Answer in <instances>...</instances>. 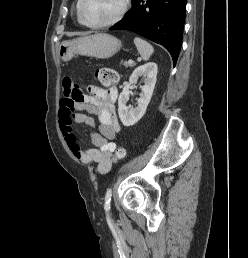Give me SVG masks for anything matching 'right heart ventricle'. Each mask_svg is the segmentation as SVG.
Masks as SVG:
<instances>
[{
  "mask_svg": "<svg viewBox=\"0 0 248 258\" xmlns=\"http://www.w3.org/2000/svg\"><path fill=\"white\" fill-rule=\"evenodd\" d=\"M77 7H78V2L76 3V7H75V15H76L77 21L82 24V21L80 20L79 15H78Z\"/></svg>",
  "mask_w": 248,
  "mask_h": 258,
  "instance_id": "right-heart-ventricle-1",
  "label": "right heart ventricle"
}]
</instances>
